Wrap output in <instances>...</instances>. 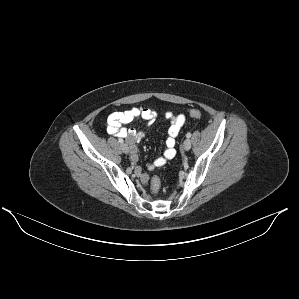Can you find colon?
Masks as SVG:
<instances>
[{
  "instance_id": "obj_1",
  "label": "colon",
  "mask_w": 299,
  "mask_h": 299,
  "mask_svg": "<svg viewBox=\"0 0 299 299\" xmlns=\"http://www.w3.org/2000/svg\"><path fill=\"white\" fill-rule=\"evenodd\" d=\"M190 117L198 119L201 118L202 112L200 110L194 109L189 112ZM152 190L154 193H158L160 190V179L158 177H154L152 179Z\"/></svg>"
}]
</instances>
